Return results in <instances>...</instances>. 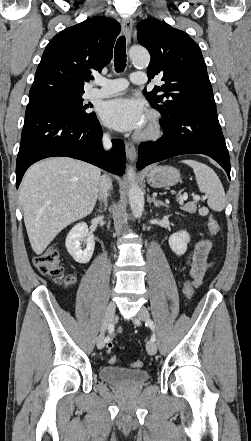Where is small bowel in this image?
Instances as JSON below:
<instances>
[{
    "label": "small bowel",
    "mask_w": 251,
    "mask_h": 441,
    "mask_svg": "<svg viewBox=\"0 0 251 441\" xmlns=\"http://www.w3.org/2000/svg\"><path fill=\"white\" fill-rule=\"evenodd\" d=\"M211 248L212 243L209 239H201L194 244L188 256L187 263L195 285H199L202 282L207 270L211 266V262L208 261Z\"/></svg>",
    "instance_id": "c3829d8e"
}]
</instances>
